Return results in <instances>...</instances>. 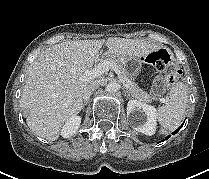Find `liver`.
<instances>
[{
    "instance_id": "1",
    "label": "liver",
    "mask_w": 209,
    "mask_h": 179,
    "mask_svg": "<svg viewBox=\"0 0 209 179\" xmlns=\"http://www.w3.org/2000/svg\"><path fill=\"white\" fill-rule=\"evenodd\" d=\"M103 45L107 56L120 62L126 57H145L157 46L139 39L109 37L107 40L66 41L42 51L29 65L20 105L28 110L27 124L38 136L58 139L64 123L83 107L82 95L95 80L81 77L99 57Z\"/></svg>"
}]
</instances>
